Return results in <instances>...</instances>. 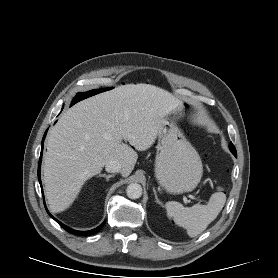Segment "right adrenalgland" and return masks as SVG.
Listing matches in <instances>:
<instances>
[{"label":"right adrenal gland","instance_id":"1","mask_svg":"<svg viewBox=\"0 0 278 278\" xmlns=\"http://www.w3.org/2000/svg\"><path fill=\"white\" fill-rule=\"evenodd\" d=\"M114 176H115L114 174H111V175L100 174L98 177H104V178H106V181H109V179L114 177Z\"/></svg>","mask_w":278,"mask_h":278}]
</instances>
